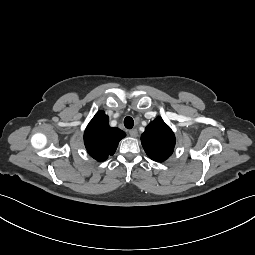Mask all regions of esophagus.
<instances>
[{"instance_id":"esophagus-1","label":"esophagus","mask_w":255,"mask_h":255,"mask_svg":"<svg viewBox=\"0 0 255 255\" xmlns=\"http://www.w3.org/2000/svg\"><path fill=\"white\" fill-rule=\"evenodd\" d=\"M130 136L132 137H137L138 136V131L136 129H132L129 131Z\"/></svg>"}]
</instances>
